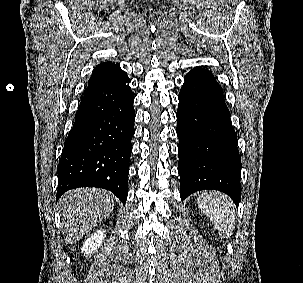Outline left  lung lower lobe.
Masks as SVG:
<instances>
[{
	"instance_id": "obj_1",
	"label": "left lung lower lobe",
	"mask_w": 303,
	"mask_h": 283,
	"mask_svg": "<svg viewBox=\"0 0 303 283\" xmlns=\"http://www.w3.org/2000/svg\"><path fill=\"white\" fill-rule=\"evenodd\" d=\"M184 80L176 114L181 199L214 189L237 205L242 164L223 90L211 71L202 67L192 69Z\"/></svg>"
}]
</instances>
